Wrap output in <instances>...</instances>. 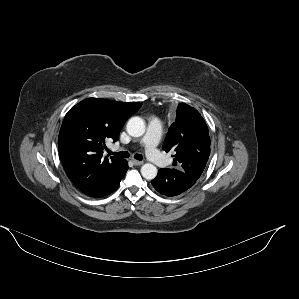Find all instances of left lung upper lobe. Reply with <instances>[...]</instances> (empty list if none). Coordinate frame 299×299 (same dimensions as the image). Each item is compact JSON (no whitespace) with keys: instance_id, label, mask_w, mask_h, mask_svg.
<instances>
[{"instance_id":"left-lung-upper-lobe-1","label":"left lung upper lobe","mask_w":299,"mask_h":299,"mask_svg":"<svg viewBox=\"0 0 299 299\" xmlns=\"http://www.w3.org/2000/svg\"><path fill=\"white\" fill-rule=\"evenodd\" d=\"M163 149L174 152V166L194 180L199 179L210 155V137L204 119L195 108L179 104Z\"/></svg>"}]
</instances>
